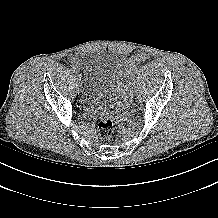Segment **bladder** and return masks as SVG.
<instances>
[{"label": "bladder", "instance_id": "31cf9c89", "mask_svg": "<svg viewBox=\"0 0 218 218\" xmlns=\"http://www.w3.org/2000/svg\"><path fill=\"white\" fill-rule=\"evenodd\" d=\"M77 65L84 74L82 99L95 113L107 114L115 105L118 86L129 71L126 61L113 55L81 54Z\"/></svg>", "mask_w": 218, "mask_h": 218}]
</instances>
